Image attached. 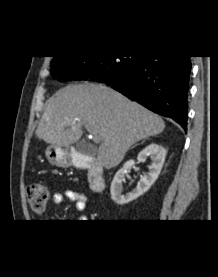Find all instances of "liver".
<instances>
[{
  "instance_id": "obj_1",
  "label": "liver",
  "mask_w": 218,
  "mask_h": 277,
  "mask_svg": "<svg viewBox=\"0 0 218 277\" xmlns=\"http://www.w3.org/2000/svg\"><path fill=\"white\" fill-rule=\"evenodd\" d=\"M88 124L101 142L99 162L117 166L136 142L163 132V119L103 84H75L60 89L48 101L35 131L52 146L68 147Z\"/></svg>"
}]
</instances>
